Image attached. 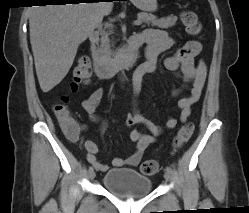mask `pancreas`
Masks as SVG:
<instances>
[{
	"instance_id": "obj_1",
	"label": "pancreas",
	"mask_w": 249,
	"mask_h": 213,
	"mask_svg": "<svg viewBox=\"0 0 249 213\" xmlns=\"http://www.w3.org/2000/svg\"><path fill=\"white\" fill-rule=\"evenodd\" d=\"M139 19L142 20V22L151 25V26H157L159 28L167 29L169 27H172L176 24L177 17L176 16H169L167 18H161L157 19L156 16L147 14L144 12H141L138 14ZM114 32L112 30V26H105L103 30L100 31V47L99 52L102 58L111 60L115 53L112 50V46L114 45V42L110 40V35H112Z\"/></svg>"
}]
</instances>
